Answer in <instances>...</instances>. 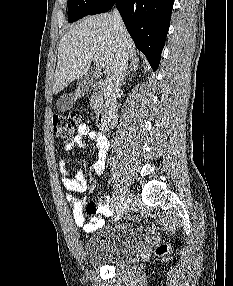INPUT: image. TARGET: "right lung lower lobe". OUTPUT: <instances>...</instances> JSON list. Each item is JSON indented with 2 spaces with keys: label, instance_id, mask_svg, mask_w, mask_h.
Segmentation results:
<instances>
[{
  "label": "right lung lower lobe",
  "instance_id": "right-lung-lower-lobe-1",
  "mask_svg": "<svg viewBox=\"0 0 233 286\" xmlns=\"http://www.w3.org/2000/svg\"><path fill=\"white\" fill-rule=\"evenodd\" d=\"M114 5L136 47L155 71L165 45L173 0H101L90 15L107 12Z\"/></svg>",
  "mask_w": 233,
  "mask_h": 286
}]
</instances>
